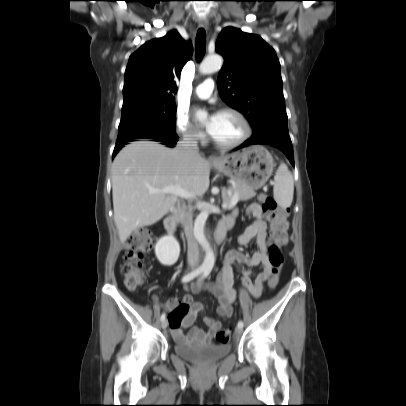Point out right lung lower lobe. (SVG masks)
I'll list each match as a JSON object with an SVG mask.
<instances>
[{
  "instance_id": "right-lung-lower-lobe-1",
  "label": "right lung lower lobe",
  "mask_w": 406,
  "mask_h": 406,
  "mask_svg": "<svg viewBox=\"0 0 406 406\" xmlns=\"http://www.w3.org/2000/svg\"><path fill=\"white\" fill-rule=\"evenodd\" d=\"M177 136L172 135V136H164V137H160V138H155L154 141L157 142H161L164 145H167L168 147H174L176 142H177ZM127 142L124 143H116L114 151H113V157H115V155L121 150V148L124 147V145H126Z\"/></svg>"
}]
</instances>
